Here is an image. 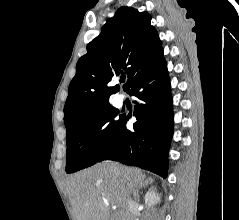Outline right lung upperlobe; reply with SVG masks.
I'll return each instance as SVG.
<instances>
[{
	"label": "right lung upper lobe",
	"mask_w": 239,
	"mask_h": 220,
	"mask_svg": "<svg viewBox=\"0 0 239 220\" xmlns=\"http://www.w3.org/2000/svg\"><path fill=\"white\" fill-rule=\"evenodd\" d=\"M150 21L147 12L121 7L87 45L68 88L66 129L83 115L110 105V95L119 89L108 87L113 76L126 74L123 88L127 91L136 79L165 60L159 35Z\"/></svg>",
	"instance_id": "1"
}]
</instances>
